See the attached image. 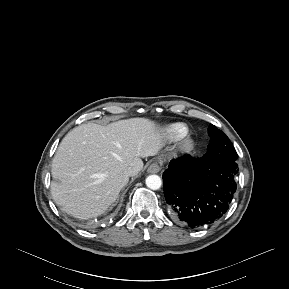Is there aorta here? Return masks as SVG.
I'll return each mask as SVG.
<instances>
[{"label":"aorta","mask_w":289,"mask_h":289,"mask_svg":"<svg viewBox=\"0 0 289 289\" xmlns=\"http://www.w3.org/2000/svg\"><path fill=\"white\" fill-rule=\"evenodd\" d=\"M146 186L152 190H158L162 185V180L158 175H149L145 180Z\"/></svg>","instance_id":"762f6f07"}]
</instances>
